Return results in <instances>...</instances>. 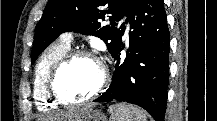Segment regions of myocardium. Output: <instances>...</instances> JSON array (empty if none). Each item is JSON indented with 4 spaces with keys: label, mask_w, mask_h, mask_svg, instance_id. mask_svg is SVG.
<instances>
[{
    "label": "myocardium",
    "mask_w": 217,
    "mask_h": 121,
    "mask_svg": "<svg viewBox=\"0 0 217 121\" xmlns=\"http://www.w3.org/2000/svg\"><path fill=\"white\" fill-rule=\"evenodd\" d=\"M79 58H89L95 61L101 69V78L96 89L86 98L83 99H68L62 96L57 87V80L60 73L69 65H71L75 60ZM109 71L105 63L101 58L96 56L94 53L87 50H71L67 52L51 69L48 79H47V93L50 99L59 105H83L91 102L97 98L107 86L109 81Z\"/></svg>",
    "instance_id": "1"
}]
</instances>
